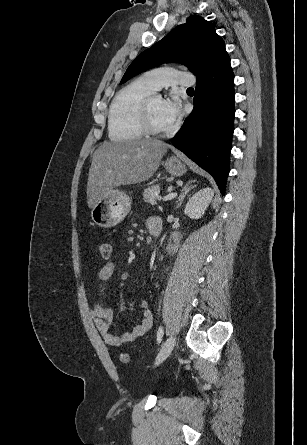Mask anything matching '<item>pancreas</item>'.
<instances>
[{"instance_id":"pancreas-1","label":"pancreas","mask_w":307,"mask_h":445,"mask_svg":"<svg viewBox=\"0 0 307 445\" xmlns=\"http://www.w3.org/2000/svg\"><path fill=\"white\" fill-rule=\"evenodd\" d=\"M155 192H160L159 184H152L149 188H144L143 198L145 202H150V204H157V200H159V196H155Z\"/></svg>"}]
</instances>
